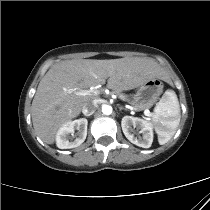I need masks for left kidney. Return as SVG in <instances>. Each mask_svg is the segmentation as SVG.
<instances>
[{
  "label": "left kidney",
  "mask_w": 210,
  "mask_h": 210,
  "mask_svg": "<svg viewBox=\"0 0 210 210\" xmlns=\"http://www.w3.org/2000/svg\"><path fill=\"white\" fill-rule=\"evenodd\" d=\"M121 126L125 137L133 144L142 147L149 148L153 141V130L151 123L132 116H124L121 121ZM133 128L139 130L142 137L136 138L132 133Z\"/></svg>",
  "instance_id": "obj_1"
}]
</instances>
